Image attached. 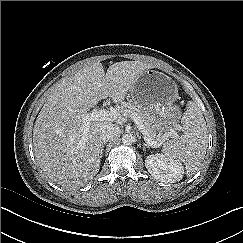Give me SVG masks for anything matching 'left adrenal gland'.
I'll use <instances>...</instances> for the list:
<instances>
[{
  "mask_svg": "<svg viewBox=\"0 0 243 243\" xmlns=\"http://www.w3.org/2000/svg\"><path fill=\"white\" fill-rule=\"evenodd\" d=\"M144 145H145L146 147H149L148 144H146V143H144Z\"/></svg>",
  "mask_w": 243,
  "mask_h": 243,
  "instance_id": "a2214340",
  "label": "left adrenal gland"
}]
</instances>
